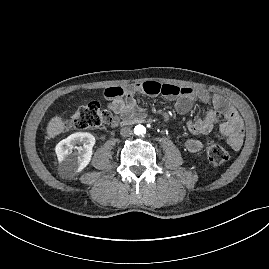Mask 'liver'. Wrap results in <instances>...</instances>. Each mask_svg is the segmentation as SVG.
Here are the masks:
<instances>
[{"instance_id":"liver-1","label":"liver","mask_w":269,"mask_h":269,"mask_svg":"<svg viewBox=\"0 0 269 269\" xmlns=\"http://www.w3.org/2000/svg\"><path fill=\"white\" fill-rule=\"evenodd\" d=\"M65 128V122L60 116L53 117L47 125L48 139L55 138L57 135L64 132Z\"/></svg>"}]
</instances>
